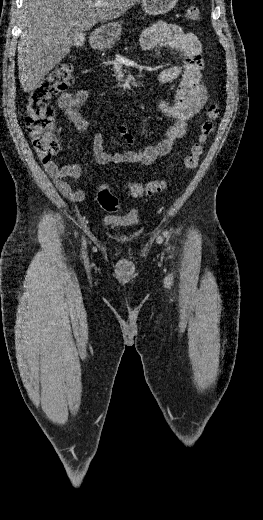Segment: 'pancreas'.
<instances>
[{"label": "pancreas", "mask_w": 263, "mask_h": 520, "mask_svg": "<svg viewBox=\"0 0 263 520\" xmlns=\"http://www.w3.org/2000/svg\"><path fill=\"white\" fill-rule=\"evenodd\" d=\"M119 39H120V38H118V37H116V38H114V39H111V40L108 42V44H107L106 47H107L108 49L112 48V45L115 44V40H119Z\"/></svg>", "instance_id": "cf45deb5"}]
</instances>
